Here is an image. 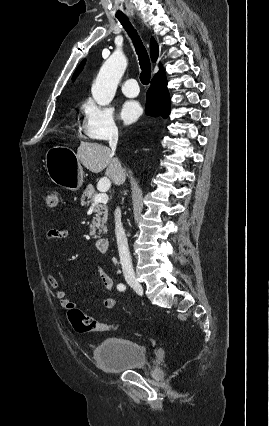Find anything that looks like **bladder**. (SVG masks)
I'll list each match as a JSON object with an SVG mask.
<instances>
[{
	"mask_svg": "<svg viewBox=\"0 0 269 426\" xmlns=\"http://www.w3.org/2000/svg\"><path fill=\"white\" fill-rule=\"evenodd\" d=\"M94 360L107 373L134 371L148 365L145 348L138 342L126 338H107L94 350Z\"/></svg>",
	"mask_w": 269,
	"mask_h": 426,
	"instance_id": "1",
	"label": "bladder"
}]
</instances>
